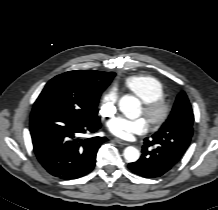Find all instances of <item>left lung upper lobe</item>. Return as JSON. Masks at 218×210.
I'll return each mask as SVG.
<instances>
[{
	"label": "left lung upper lobe",
	"mask_w": 218,
	"mask_h": 210,
	"mask_svg": "<svg viewBox=\"0 0 218 210\" xmlns=\"http://www.w3.org/2000/svg\"><path fill=\"white\" fill-rule=\"evenodd\" d=\"M194 115L184 91L176 99L172 112L152 140L161 143L165 149L186 151L193 134Z\"/></svg>",
	"instance_id": "left-lung-upper-lobe-1"
}]
</instances>
